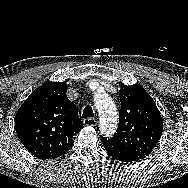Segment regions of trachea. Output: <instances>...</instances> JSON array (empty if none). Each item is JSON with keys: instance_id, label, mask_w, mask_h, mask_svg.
<instances>
[{"instance_id": "1", "label": "trachea", "mask_w": 188, "mask_h": 188, "mask_svg": "<svg viewBox=\"0 0 188 188\" xmlns=\"http://www.w3.org/2000/svg\"><path fill=\"white\" fill-rule=\"evenodd\" d=\"M83 118H91L94 117V113H93V109L91 106H86L83 110V114H82Z\"/></svg>"}]
</instances>
